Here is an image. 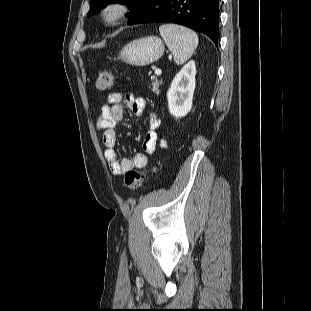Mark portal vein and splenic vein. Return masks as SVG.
<instances>
[{
    "instance_id": "obj_1",
    "label": "portal vein and splenic vein",
    "mask_w": 311,
    "mask_h": 311,
    "mask_svg": "<svg viewBox=\"0 0 311 311\" xmlns=\"http://www.w3.org/2000/svg\"><path fill=\"white\" fill-rule=\"evenodd\" d=\"M161 73H162L161 69H156V70H155V74H156V75H161Z\"/></svg>"
}]
</instances>
